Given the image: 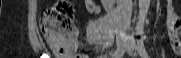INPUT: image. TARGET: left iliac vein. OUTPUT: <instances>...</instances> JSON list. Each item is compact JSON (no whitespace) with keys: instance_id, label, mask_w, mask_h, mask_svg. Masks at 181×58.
Instances as JSON below:
<instances>
[{"instance_id":"1","label":"left iliac vein","mask_w":181,"mask_h":58,"mask_svg":"<svg viewBox=\"0 0 181 58\" xmlns=\"http://www.w3.org/2000/svg\"><path fill=\"white\" fill-rule=\"evenodd\" d=\"M135 50H136V43L133 37H129L127 40V53L134 57L136 55Z\"/></svg>"}]
</instances>
